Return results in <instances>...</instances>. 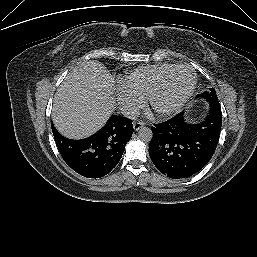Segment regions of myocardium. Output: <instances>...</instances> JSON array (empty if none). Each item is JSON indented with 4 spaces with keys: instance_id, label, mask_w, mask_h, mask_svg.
Listing matches in <instances>:
<instances>
[{
    "instance_id": "obj_1",
    "label": "myocardium",
    "mask_w": 257,
    "mask_h": 257,
    "mask_svg": "<svg viewBox=\"0 0 257 257\" xmlns=\"http://www.w3.org/2000/svg\"><path fill=\"white\" fill-rule=\"evenodd\" d=\"M179 69H186L192 75V81H191V84H190L188 90L178 101L171 104L170 106H168L166 108H158L155 105L156 98L158 97V95L162 91L163 86H164L166 80L168 79V77L173 72H175ZM196 85H197V74L192 67H190L186 64L175 65V66L171 67L170 69H168L158 79V81L156 82V84L152 88L151 92L149 93V95L147 97L148 106L153 112H155L159 116H168V115L174 114L175 112L179 111L184 105H186V103L190 100V98L192 97V95L195 91Z\"/></svg>"
}]
</instances>
